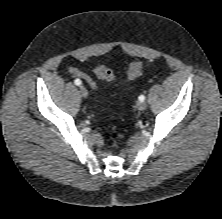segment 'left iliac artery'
Wrapping results in <instances>:
<instances>
[{
  "mask_svg": "<svg viewBox=\"0 0 222 219\" xmlns=\"http://www.w3.org/2000/svg\"><path fill=\"white\" fill-rule=\"evenodd\" d=\"M139 100H140V101H144V100H145V96H144V95H140V96H139Z\"/></svg>",
  "mask_w": 222,
  "mask_h": 219,
  "instance_id": "44dca946",
  "label": "left iliac artery"
}]
</instances>
